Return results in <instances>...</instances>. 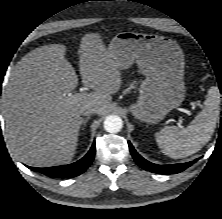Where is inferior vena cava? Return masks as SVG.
Segmentation results:
<instances>
[{
  "label": "inferior vena cava",
  "instance_id": "1",
  "mask_svg": "<svg viewBox=\"0 0 222 219\" xmlns=\"http://www.w3.org/2000/svg\"><path fill=\"white\" fill-rule=\"evenodd\" d=\"M98 111H99L98 106H96V105L88 106L83 110V114L86 116H89L90 114L98 113Z\"/></svg>",
  "mask_w": 222,
  "mask_h": 219
}]
</instances>
